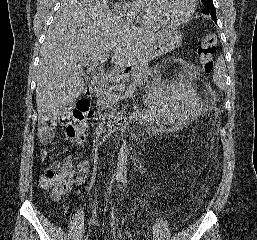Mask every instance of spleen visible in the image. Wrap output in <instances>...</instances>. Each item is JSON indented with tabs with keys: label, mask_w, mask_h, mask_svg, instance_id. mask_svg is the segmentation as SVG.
<instances>
[{
	"label": "spleen",
	"mask_w": 257,
	"mask_h": 240,
	"mask_svg": "<svg viewBox=\"0 0 257 240\" xmlns=\"http://www.w3.org/2000/svg\"><path fill=\"white\" fill-rule=\"evenodd\" d=\"M213 79L215 84L220 89H224L226 80V66L222 57H220L216 63L215 71L213 73Z\"/></svg>",
	"instance_id": "obj_1"
}]
</instances>
